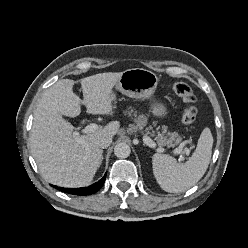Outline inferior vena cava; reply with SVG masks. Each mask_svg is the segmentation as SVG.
<instances>
[{
    "label": "inferior vena cava",
    "mask_w": 248,
    "mask_h": 248,
    "mask_svg": "<svg viewBox=\"0 0 248 248\" xmlns=\"http://www.w3.org/2000/svg\"><path fill=\"white\" fill-rule=\"evenodd\" d=\"M111 143H112V138L109 136L100 137L96 141V145L102 149L107 148Z\"/></svg>",
    "instance_id": "obj_1"
}]
</instances>
